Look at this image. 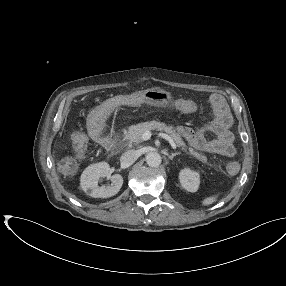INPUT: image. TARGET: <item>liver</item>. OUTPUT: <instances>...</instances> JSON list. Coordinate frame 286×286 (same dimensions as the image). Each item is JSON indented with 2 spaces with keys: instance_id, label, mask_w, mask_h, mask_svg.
Wrapping results in <instances>:
<instances>
[{
  "instance_id": "liver-1",
  "label": "liver",
  "mask_w": 286,
  "mask_h": 286,
  "mask_svg": "<svg viewBox=\"0 0 286 286\" xmlns=\"http://www.w3.org/2000/svg\"><path fill=\"white\" fill-rule=\"evenodd\" d=\"M100 127L88 129V134L92 139H95L100 133Z\"/></svg>"
}]
</instances>
